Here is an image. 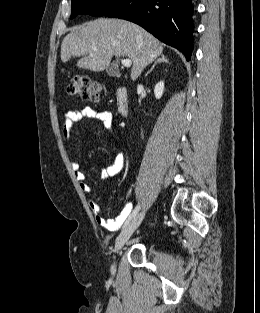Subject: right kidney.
Segmentation results:
<instances>
[{"label": "right kidney", "instance_id": "obj_1", "mask_svg": "<svg viewBox=\"0 0 260 313\" xmlns=\"http://www.w3.org/2000/svg\"><path fill=\"white\" fill-rule=\"evenodd\" d=\"M164 91V82L160 81L155 85L154 94L157 99H160Z\"/></svg>", "mask_w": 260, "mask_h": 313}]
</instances>
